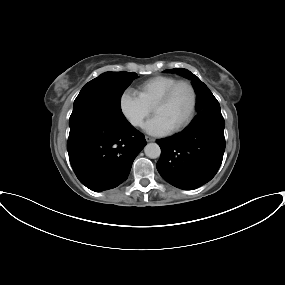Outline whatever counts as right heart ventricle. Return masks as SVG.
I'll use <instances>...</instances> for the list:
<instances>
[{
    "instance_id": "right-heart-ventricle-1",
    "label": "right heart ventricle",
    "mask_w": 285,
    "mask_h": 285,
    "mask_svg": "<svg viewBox=\"0 0 285 285\" xmlns=\"http://www.w3.org/2000/svg\"><path fill=\"white\" fill-rule=\"evenodd\" d=\"M177 81L178 78L170 75L152 77L138 86L137 95L147 106L153 108L158 99Z\"/></svg>"
}]
</instances>
